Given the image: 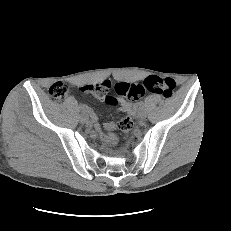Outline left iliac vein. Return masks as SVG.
<instances>
[{"mask_svg":"<svg viewBox=\"0 0 231 231\" xmlns=\"http://www.w3.org/2000/svg\"><path fill=\"white\" fill-rule=\"evenodd\" d=\"M138 117L140 118V119H145L146 118V113H145V111L144 110H140L139 111V113H138Z\"/></svg>","mask_w":231,"mask_h":231,"instance_id":"4c4485c4","label":"left iliac vein"}]
</instances>
